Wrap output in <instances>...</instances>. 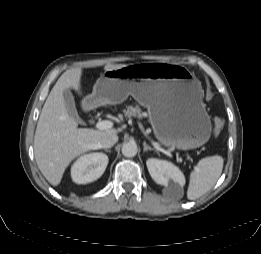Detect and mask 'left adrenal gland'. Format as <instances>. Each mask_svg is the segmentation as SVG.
<instances>
[{"label": "left adrenal gland", "instance_id": "a2214340", "mask_svg": "<svg viewBox=\"0 0 261 254\" xmlns=\"http://www.w3.org/2000/svg\"><path fill=\"white\" fill-rule=\"evenodd\" d=\"M143 146H144V149H143L144 152H146V151H148V150H150V151L154 150L153 148H151L150 146H148V145L146 144V142L143 143Z\"/></svg>", "mask_w": 261, "mask_h": 254}]
</instances>
